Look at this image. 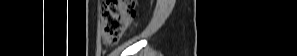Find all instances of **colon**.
Listing matches in <instances>:
<instances>
[{
	"label": "colon",
	"mask_w": 297,
	"mask_h": 56,
	"mask_svg": "<svg viewBox=\"0 0 297 56\" xmlns=\"http://www.w3.org/2000/svg\"><path fill=\"white\" fill-rule=\"evenodd\" d=\"M135 17V1L107 0L101 5L102 42L115 45L132 24Z\"/></svg>",
	"instance_id": "1"
}]
</instances>
